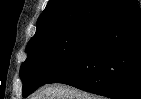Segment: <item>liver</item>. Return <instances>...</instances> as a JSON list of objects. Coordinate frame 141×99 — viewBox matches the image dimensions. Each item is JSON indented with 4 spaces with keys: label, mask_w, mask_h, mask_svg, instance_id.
<instances>
[{
    "label": "liver",
    "mask_w": 141,
    "mask_h": 99,
    "mask_svg": "<svg viewBox=\"0 0 141 99\" xmlns=\"http://www.w3.org/2000/svg\"><path fill=\"white\" fill-rule=\"evenodd\" d=\"M31 99H103L71 86L54 84L38 90Z\"/></svg>",
    "instance_id": "liver-1"
}]
</instances>
